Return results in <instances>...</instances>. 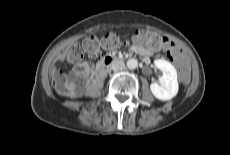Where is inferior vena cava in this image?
I'll list each match as a JSON object with an SVG mask.
<instances>
[{
  "label": "inferior vena cava",
  "mask_w": 230,
  "mask_h": 155,
  "mask_svg": "<svg viewBox=\"0 0 230 155\" xmlns=\"http://www.w3.org/2000/svg\"><path fill=\"white\" fill-rule=\"evenodd\" d=\"M124 67L125 65L123 61H115L111 64V69L114 71L122 70Z\"/></svg>",
  "instance_id": "602c4592"
}]
</instances>
